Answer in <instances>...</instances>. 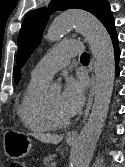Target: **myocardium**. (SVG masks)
Wrapping results in <instances>:
<instances>
[{
  "instance_id": "f54148a6",
  "label": "myocardium",
  "mask_w": 125,
  "mask_h": 167,
  "mask_svg": "<svg viewBox=\"0 0 125 167\" xmlns=\"http://www.w3.org/2000/svg\"><path fill=\"white\" fill-rule=\"evenodd\" d=\"M43 110L47 121L53 128H65L70 124L69 117L60 118L54 114L47 101V97H44L43 99Z\"/></svg>"
}]
</instances>
